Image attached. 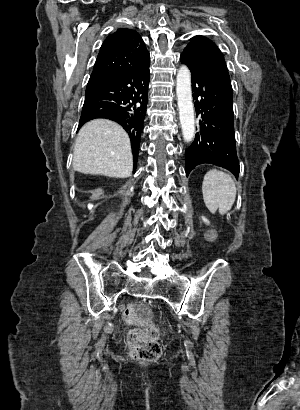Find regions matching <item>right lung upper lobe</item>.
I'll use <instances>...</instances> for the list:
<instances>
[{
    "label": "right lung upper lobe",
    "instance_id": "1",
    "mask_svg": "<svg viewBox=\"0 0 300 410\" xmlns=\"http://www.w3.org/2000/svg\"><path fill=\"white\" fill-rule=\"evenodd\" d=\"M150 54L140 35L131 29H118L103 42L89 82L97 81L127 69L143 68ZM139 146L133 150L137 157Z\"/></svg>",
    "mask_w": 300,
    "mask_h": 410
}]
</instances>
